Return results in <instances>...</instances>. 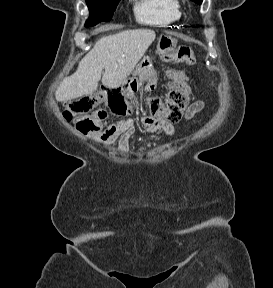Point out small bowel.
Masks as SVG:
<instances>
[{"label": "small bowel", "mask_w": 273, "mask_h": 288, "mask_svg": "<svg viewBox=\"0 0 273 288\" xmlns=\"http://www.w3.org/2000/svg\"><path fill=\"white\" fill-rule=\"evenodd\" d=\"M205 107L203 101L193 102L185 112L184 120L188 122L198 113H200ZM142 128L144 131L153 133L158 130H163L168 135L174 134V127L171 123L153 118L148 115L141 116ZM137 126L135 122L131 119L122 120L114 125L104 127L100 122L94 131L91 132V136L105 144H111L120 138L121 146L126 149L128 147V142L130 137L136 131Z\"/></svg>", "instance_id": "small-bowel-1"}]
</instances>
